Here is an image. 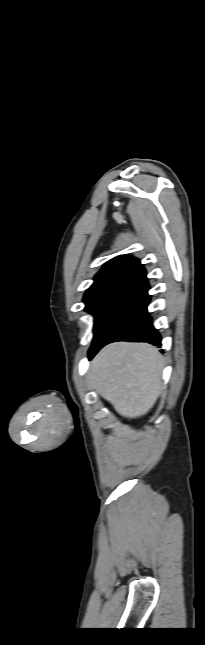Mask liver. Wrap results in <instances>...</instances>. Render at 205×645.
Here are the masks:
<instances>
[{
  "mask_svg": "<svg viewBox=\"0 0 205 645\" xmlns=\"http://www.w3.org/2000/svg\"><path fill=\"white\" fill-rule=\"evenodd\" d=\"M163 367V357L155 346L116 342L102 348L92 360L88 380L117 413L137 418L155 404Z\"/></svg>",
  "mask_w": 205,
  "mask_h": 645,
  "instance_id": "1",
  "label": "liver"
}]
</instances>
